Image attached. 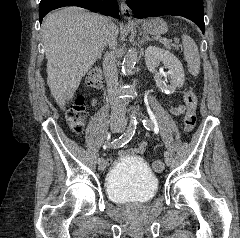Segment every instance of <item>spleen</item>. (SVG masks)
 <instances>
[{
  "label": "spleen",
  "mask_w": 240,
  "mask_h": 238,
  "mask_svg": "<svg viewBox=\"0 0 240 238\" xmlns=\"http://www.w3.org/2000/svg\"><path fill=\"white\" fill-rule=\"evenodd\" d=\"M184 57L188 63V71L196 76L200 72V55L195 41L188 35L182 36Z\"/></svg>",
  "instance_id": "spleen-1"
}]
</instances>
